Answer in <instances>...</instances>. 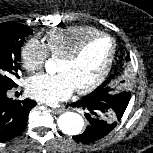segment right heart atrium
<instances>
[{
  "label": "right heart atrium",
  "mask_w": 153,
  "mask_h": 153,
  "mask_svg": "<svg viewBox=\"0 0 153 153\" xmlns=\"http://www.w3.org/2000/svg\"><path fill=\"white\" fill-rule=\"evenodd\" d=\"M20 54L24 68L27 71L34 72L43 67L49 51L43 42L31 38L22 46Z\"/></svg>",
  "instance_id": "1"
}]
</instances>
